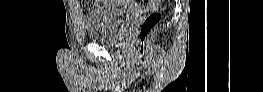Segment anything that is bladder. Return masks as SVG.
Returning <instances> with one entry per match:
<instances>
[{"instance_id":"31cf9c89","label":"bladder","mask_w":263,"mask_h":92,"mask_svg":"<svg viewBox=\"0 0 263 92\" xmlns=\"http://www.w3.org/2000/svg\"><path fill=\"white\" fill-rule=\"evenodd\" d=\"M86 17L85 26L91 41L104 45H116L130 30L138 13L118 7L116 1H104Z\"/></svg>"}]
</instances>
